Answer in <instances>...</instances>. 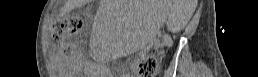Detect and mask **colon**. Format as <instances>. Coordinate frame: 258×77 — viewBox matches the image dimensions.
I'll list each match as a JSON object with an SVG mask.
<instances>
[{
    "label": "colon",
    "mask_w": 258,
    "mask_h": 77,
    "mask_svg": "<svg viewBox=\"0 0 258 77\" xmlns=\"http://www.w3.org/2000/svg\"><path fill=\"white\" fill-rule=\"evenodd\" d=\"M81 28V20L77 16H67L63 21L54 23L52 34L55 39H63L66 35L76 33ZM158 62L154 56L145 55L133 61L132 70L137 77H154Z\"/></svg>",
    "instance_id": "5ec220e1"
}]
</instances>
